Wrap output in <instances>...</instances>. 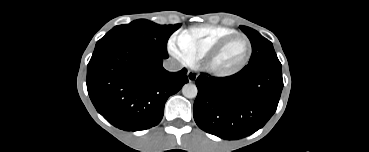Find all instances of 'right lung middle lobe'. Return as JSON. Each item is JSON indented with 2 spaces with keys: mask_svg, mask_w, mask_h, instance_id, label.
Listing matches in <instances>:
<instances>
[{
  "mask_svg": "<svg viewBox=\"0 0 369 152\" xmlns=\"http://www.w3.org/2000/svg\"><path fill=\"white\" fill-rule=\"evenodd\" d=\"M180 24L158 25L145 19L115 26L97 41L95 50L114 42H132L146 46L160 56H168L167 41Z\"/></svg>",
  "mask_w": 369,
  "mask_h": 152,
  "instance_id": "1",
  "label": "right lung middle lobe"
}]
</instances>
